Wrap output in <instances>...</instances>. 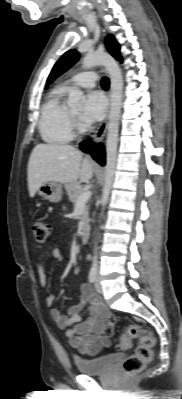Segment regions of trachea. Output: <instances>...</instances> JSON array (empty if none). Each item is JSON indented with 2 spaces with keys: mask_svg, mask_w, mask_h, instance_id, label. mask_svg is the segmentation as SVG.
<instances>
[{
  "mask_svg": "<svg viewBox=\"0 0 182 399\" xmlns=\"http://www.w3.org/2000/svg\"><path fill=\"white\" fill-rule=\"evenodd\" d=\"M109 84H110L109 79L107 77H103L101 80V86L105 89H108Z\"/></svg>",
  "mask_w": 182,
  "mask_h": 399,
  "instance_id": "3493384b",
  "label": "trachea"
}]
</instances>
